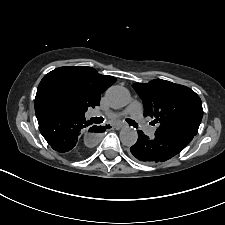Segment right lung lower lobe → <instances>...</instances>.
I'll return each instance as SVG.
<instances>
[{"instance_id": "obj_1", "label": "right lung lower lobe", "mask_w": 225, "mask_h": 225, "mask_svg": "<svg viewBox=\"0 0 225 225\" xmlns=\"http://www.w3.org/2000/svg\"><path fill=\"white\" fill-rule=\"evenodd\" d=\"M35 113L39 130L52 149L72 158H81L87 154L78 143L80 135L91 125L85 120L84 114L74 113L44 101L35 102ZM106 128L107 126L90 127V136L94 135L93 132H102Z\"/></svg>"}]
</instances>
